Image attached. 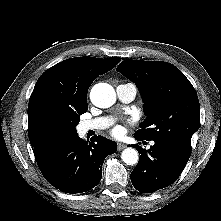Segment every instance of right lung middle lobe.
I'll return each instance as SVG.
<instances>
[{"label":"right lung middle lobe","instance_id":"dd1d6c3e","mask_svg":"<svg viewBox=\"0 0 221 221\" xmlns=\"http://www.w3.org/2000/svg\"><path fill=\"white\" fill-rule=\"evenodd\" d=\"M88 108L78 111L54 110L47 116V123L51 131L61 140L77 135L75 126L79 123V116Z\"/></svg>","mask_w":221,"mask_h":221}]
</instances>
